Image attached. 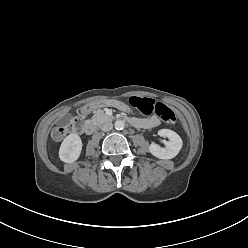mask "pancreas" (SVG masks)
Instances as JSON below:
<instances>
[{
  "instance_id": "1",
  "label": "pancreas",
  "mask_w": 248,
  "mask_h": 248,
  "mask_svg": "<svg viewBox=\"0 0 248 248\" xmlns=\"http://www.w3.org/2000/svg\"><path fill=\"white\" fill-rule=\"evenodd\" d=\"M93 120L98 123L102 124L106 121L112 120V117L106 115L102 110H98L93 118Z\"/></svg>"
}]
</instances>
